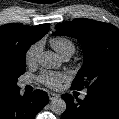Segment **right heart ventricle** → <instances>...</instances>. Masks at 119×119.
<instances>
[{"mask_svg":"<svg viewBox=\"0 0 119 119\" xmlns=\"http://www.w3.org/2000/svg\"><path fill=\"white\" fill-rule=\"evenodd\" d=\"M52 48L61 56H72L75 52V44L72 40L64 36H55L50 39Z\"/></svg>","mask_w":119,"mask_h":119,"instance_id":"e07e8e85","label":"right heart ventricle"}]
</instances>
